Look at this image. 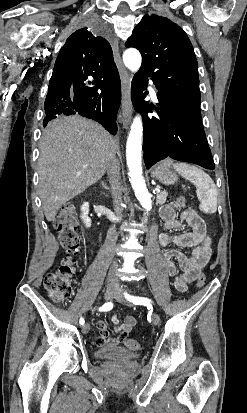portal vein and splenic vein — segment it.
<instances>
[{"label": "portal vein and splenic vein", "instance_id": "18ae733b", "mask_svg": "<svg viewBox=\"0 0 247 413\" xmlns=\"http://www.w3.org/2000/svg\"><path fill=\"white\" fill-rule=\"evenodd\" d=\"M155 190H157V192H160V188H155Z\"/></svg>", "mask_w": 247, "mask_h": 413}]
</instances>
